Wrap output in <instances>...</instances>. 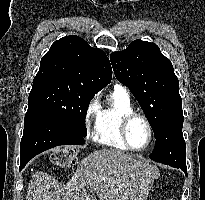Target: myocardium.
I'll return each mask as SVG.
<instances>
[{
	"instance_id": "myocardium-1",
	"label": "myocardium",
	"mask_w": 205,
	"mask_h": 200,
	"mask_svg": "<svg viewBox=\"0 0 205 200\" xmlns=\"http://www.w3.org/2000/svg\"><path fill=\"white\" fill-rule=\"evenodd\" d=\"M137 118L142 119L146 123L147 128H148V132H149L148 141L141 148L134 147L130 143V140H129V137H128L129 126L132 123V121L137 119ZM120 134H121L122 140L125 143V145L132 151H137V152L143 151V150L147 149L153 141V127H152V124H151L150 120L145 115H143L141 113H138V112H135V111L125 115L122 118L121 123H120Z\"/></svg>"
}]
</instances>
